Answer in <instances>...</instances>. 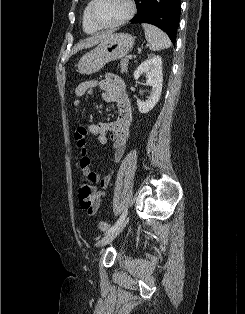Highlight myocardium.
Here are the masks:
<instances>
[{"label":"myocardium","mask_w":245,"mask_h":314,"mask_svg":"<svg viewBox=\"0 0 245 314\" xmlns=\"http://www.w3.org/2000/svg\"><path fill=\"white\" fill-rule=\"evenodd\" d=\"M96 2L97 0H91L90 7H89V17L91 21L93 22V24L99 29H108V28L118 27L126 23L127 21H129L136 12V5L134 3V0H126L127 5H128V10L125 15H123L120 19H118L115 22L107 23V24L101 23L97 20L94 14V8H95Z\"/></svg>","instance_id":"1"}]
</instances>
